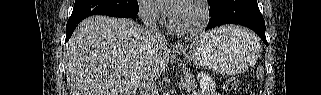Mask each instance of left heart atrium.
I'll return each mask as SVG.
<instances>
[{
    "label": "left heart atrium",
    "instance_id": "39dd6f15",
    "mask_svg": "<svg viewBox=\"0 0 321 95\" xmlns=\"http://www.w3.org/2000/svg\"><path fill=\"white\" fill-rule=\"evenodd\" d=\"M171 0H161L160 2L161 3H168V2H170ZM163 10L168 14V15H170V16H172L175 12H176V10H177V7H170V6H164L163 7Z\"/></svg>",
    "mask_w": 321,
    "mask_h": 95
}]
</instances>
